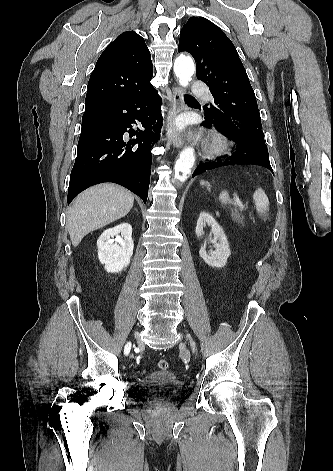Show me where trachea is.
<instances>
[{
	"mask_svg": "<svg viewBox=\"0 0 333 471\" xmlns=\"http://www.w3.org/2000/svg\"><path fill=\"white\" fill-rule=\"evenodd\" d=\"M188 99H194V97L190 95H185V100H188Z\"/></svg>",
	"mask_w": 333,
	"mask_h": 471,
	"instance_id": "trachea-1",
	"label": "trachea"
}]
</instances>
